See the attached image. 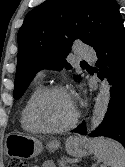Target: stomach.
I'll list each match as a JSON object with an SVG mask.
<instances>
[{"label": "stomach", "mask_w": 125, "mask_h": 167, "mask_svg": "<svg viewBox=\"0 0 125 167\" xmlns=\"http://www.w3.org/2000/svg\"><path fill=\"white\" fill-rule=\"evenodd\" d=\"M67 152L72 156H85L92 152L91 144L78 136L69 137L65 143ZM50 150L59 147V142L54 140L47 144ZM43 144L35 137L22 133L11 134L7 138L5 152L8 156L18 158H33L43 151Z\"/></svg>", "instance_id": "obj_1"}]
</instances>
